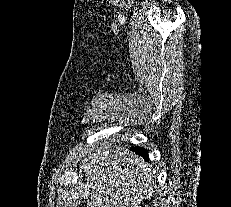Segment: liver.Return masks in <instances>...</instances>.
Returning a JSON list of instances; mask_svg holds the SVG:
<instances>
[{
	"instance_id": "1",
	"label": "liver",
	"mask_w": 231,
	"mask_h": 207,
	"mask_svg": "<svg viewBox=\"0 0 231 207\" xmlns=\"http://www.w3.org/2000/svg\"><path fill=\"white\" fill-rule=\"evenodd\" d=\"M108 144L97 145L79 167L90 189L87 207H138L153 191L152 171L133 152Z\"/></svg>"
}]
</instances>
